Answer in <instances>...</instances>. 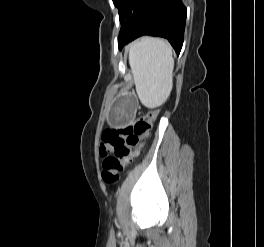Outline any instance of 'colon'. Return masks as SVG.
<instances>
[{
	"mask_svg": "<svg viewBox=\"0 0 264 247\" xmlns=\"http://www.w3.org/2000/svg\"><path fill=\"white\" fill-rule=\"evenodd\" d=\"M156 117L157 111L151 110L128 124L103 132L99 153L103 158L101 176L105 184L118 181L131 161L132 150L148 136Z\"/></svg>",
	"mask_w": 264,
	"mask_h": 247,
	"instance_id": "5ec220e1",
	"label": "colon"
}]
</instances>
